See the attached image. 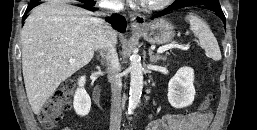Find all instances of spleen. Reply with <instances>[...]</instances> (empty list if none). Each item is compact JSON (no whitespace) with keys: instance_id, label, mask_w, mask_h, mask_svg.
Masks as SVG:
<instances>
[{"instance_id":"spleen-1","label":"spleen","mask_w":257,"mask_h":130,"mask_svg":"<svg viewBox=\"0 0 257 130\" xmlns=\"http://www.w3.org/2000/svg\"><path fill=\"white\" fill-rule=\"evenodd\" d=\"M186 21L190 24V30L199 39L200 46L214 61L221 60V52L218 42L208 24L195 14L189 13Z\"/></svg>"}]
</instances>
